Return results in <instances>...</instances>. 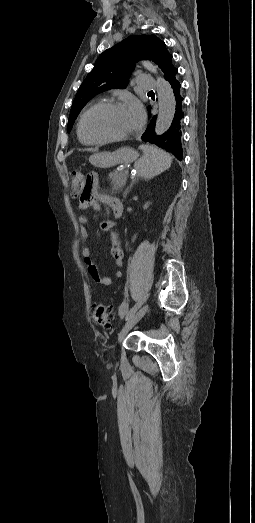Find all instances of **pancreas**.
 <instances>
[{
	"label": "pancreas",
	"mask_w": 255,
	"mask_h": 523,
	"mask_svg": "<svg viewBox=\"0 0 255 523\" xmlns=\"http://www.w3.org/2000/svg\"><path fill=\"white\" fill-rule=\"evenodd\" d=\"M127 178L128 174H125L123 170H114V172H111V174H109L111 186L114 192H116V194H118V192H121L122 188H124Z\"/></svg>",
	"instance_id": "pancreas-1"
}]
</instances>
